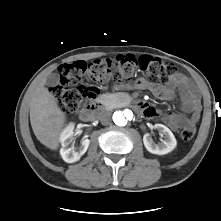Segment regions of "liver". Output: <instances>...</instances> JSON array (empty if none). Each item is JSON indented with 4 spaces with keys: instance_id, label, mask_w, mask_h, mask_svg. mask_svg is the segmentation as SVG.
<instances>
[{
    "instance_id": "1",
    "label": "liver",
    "mask_w": 221,
    "mask_h": 221,
    "mask_svg": "<svg viewBox=\"0 0 221 221\" xmlns=\"http://www.w3.org/2000/svg\"><path fill=\"white\" fill-rule=\"evenodd\" d=\"M30 122L36 138L44 146L51 150L58 149L66 115L58 107L52 93L45 87V79L33 92L30 103Z\"/></svg>"
}]
</instances>
